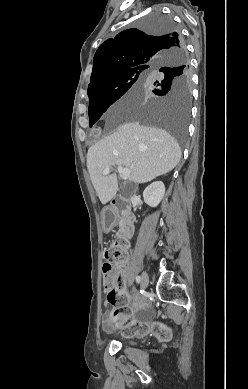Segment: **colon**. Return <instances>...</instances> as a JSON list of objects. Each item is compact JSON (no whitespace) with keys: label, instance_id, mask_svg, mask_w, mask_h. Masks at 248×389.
Returning a JSON list of instances; mask_svg holds the SVG:
<instances>
[{"label":"colon","instance_id":"5ec220e1","mask_svg":"<svg viewBox=\"0 0 248 389\" xmlns=\"http://www.w3.org/2000/svg\"><path fill=\"white\" fill-rule=\"evenodd\" d=\"M126 258V251L123 245L115 242L105 252V262L103 263V276L104 285L103 290L106 291L107 301L113 305L126 302V298L119 297V288L122 286V277L124 272L122 270V264ZM117 312L113 315L112 321H116L119 318V312H130V305H117ZM149 324L147 322H135L129 323L122 327V332L126 335L137 333L138 336L142 335L144 329H147ZM163 323H158L157 326H153L151 331L158 333L160 328H163ZM169 334L168 330L162 329L161 335L167 337Z\"/></svg>","mask_w":248,"mask_h":389}]
</instances>
